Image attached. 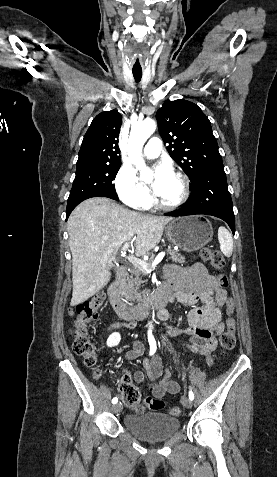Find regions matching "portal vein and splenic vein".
Here are the masks:
<instances>
[{
  "label": "portal vein and splenic vein",
  "mask_w": 277,
  "mask_h": 477,
  "mask_svg": "<svg viewBox=\"0 0 277 477\" xmlns=\"http://www.w3.org/2000/svg\"><path fill=\"white\" fill-rule=\"evenodd\" d=\"M129 247V243H125L122 247L123 253L125 254ZM165 252H160L154 259L152 263H148L142 259H139L133 255H127V259L130 263H132L135 267L141 268L145 272H150L152 269L164 258Z\"/></svg>",
  "instance_id": "1"
}]
</instances>
